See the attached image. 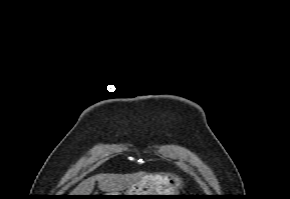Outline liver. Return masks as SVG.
I'll return each mask as SVG.
<instances>
[{
	"mask_svg": "<svg viewBox=\"0 0 290 199\" xmlns=\"http://www.w3.org/2000/svg\"><path fill=\"white\" fill-rule=\"evenodd\" d=\"M165 178L168 180L167 177ZM136 180L137 178L133 175L99 174L83 180L71 192V195H90L94 188L95 181L98 182L100 190L108 193H118L128 188Z\"/></svg>",
	"mask_w": 290,
	"mask_h": 199,
	"instance_id": "1",
	"label": "liver"
}]
</instances>
